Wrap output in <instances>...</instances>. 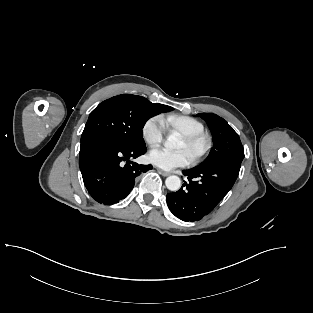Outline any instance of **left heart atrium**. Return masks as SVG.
Here are the masks:
<instances>
[{
  "label": "left heart atrium",
  "mask_w": 313,
  "mask_h": 313,
  "mask_svg": "<svg viewBox=\"0 0 313 313\" xmlns=\"http://www.w3.org/2000/svg\"><path fill=\"white\" fill-rule=\"evenodd\" d=\"M151 163L165 170L184 167L191 163V157L185 150L170 151L165 148H156L149 153Z\"/></svg>",
  "instance_id": "39dd6f15"
}]
</instances>
